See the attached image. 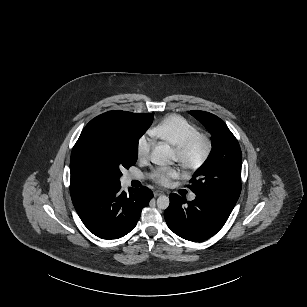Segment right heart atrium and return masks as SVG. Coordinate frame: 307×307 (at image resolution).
<instances>
[{
    "instance_id": "1",
    "label": "right heart atrium",
    "mask_w": 307,
    "mask_h": 307,
    "mask_svg": "<svg viewBox=\"0 0 307 307\" xmlns=\"http://www.w3.org/2000/svg\"><path fill=\"white\" fill-rule=\"evenodd\" d=\"M155 143L150 136H142L136 146V157L139 161H146L154 149Z\"/></svg>"
}]
</instances>
